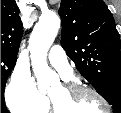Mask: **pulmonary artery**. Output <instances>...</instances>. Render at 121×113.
<instances>
[{"label":"pulmonary artery","mask_w":121,"mask_h":113,"mask_svg":"<svg viewBox=\"0 0 121 113\" xmlns=\"http://www.w3.org/2000/svg\"><path fill=\"white\" fill-rule=\"evenodd\" d=\"M49 63L60 73L64 79L73 77V68L65 51L60 46L51 48L48 54Z\"/></svg>","instance_id":"obj_1"}]
</instances>
